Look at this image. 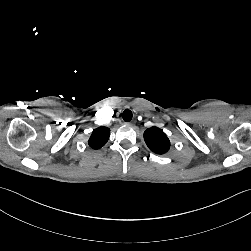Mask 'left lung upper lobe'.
I'll use <instances>...</instances> for the list:
<instances>
[{
  "instance_id": "1",
  "label": "left lung upper lobe",
  "mask_w": 251,
  "mask_h": 251,
  "mask_svg": "<svg viewBox=\"0 0 251 251\" xmlns=\"http://www.w3.org/2000/svg\"><path fill=\"white\" fill-rule=\"evenodd\" d=\"M144 139L149 149L157 154H163L170 148L166 134L158 127H151L144 132Z\"/></svg>"
}]
</instances>
